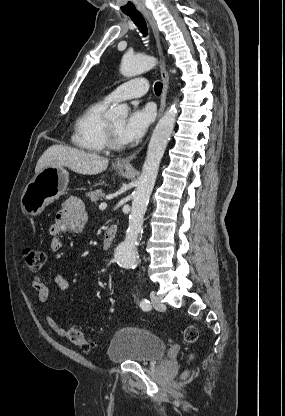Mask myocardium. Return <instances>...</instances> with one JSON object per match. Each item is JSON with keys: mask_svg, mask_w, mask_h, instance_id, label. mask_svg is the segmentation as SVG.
<instances>
[{"mask_svg": "<svg viewBox=\"0 0 285 416\" xmlns=\"http://www.w3.org/2000/svg\"><path fill=\"white\" fill-rule=\"evenodd\" d=\"M104 138H105L106 148L113 150V151H120L123 149L122 143L119 142L114 137L113 132L107 121H105V124H104Z\"/></svg>", "mask_w": 285, "mask_h": 416, "instance_id": "f54148a6", "label": "myocardium"}]
</instances>
